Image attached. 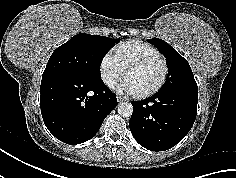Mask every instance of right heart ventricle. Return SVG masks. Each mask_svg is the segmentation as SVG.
I'll use <instances>...</instances> for the list:
<instances>
[{
	"label": "right heart ventricle",
	"mask_w": 236,
	"mask_h": 178,
	"mask_svg": "<svg viewBox=\"0 0 236 178\" xmlns=\"http://www.w3.org/2000/svg\"><path fill=\"white\" fill-rule=\"evenodd\" d=\"M113 55L122 68L125 69V67L133 61L161 54L156 48L143 41L128 40L115 47Z\"/></svg>",
	"instance_id": "e07e8e85"
}]
</instances>
